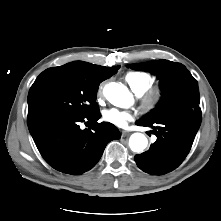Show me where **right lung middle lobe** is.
I'll use <instances>...</instances> for the list:
<instances>
[{
  "instance_id": "right-lung-middle-lobe-1",
  "label": "right lung middle lobe",
  "mask_w": 221,
  "mask_h": 221,
  "mask_svg": "<svg viewBox=\"0 0 221 221\" xmlns=\"http://www.w3.org/2000/svg\"><path fill=\"white\" fill-rule=\"evenodd\" d=\"M99 84L56 70L40 74L28 94V113L60 111L88 116L99 111Z\"/></svg>"
}]
</instances>
